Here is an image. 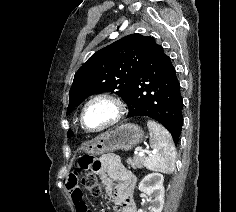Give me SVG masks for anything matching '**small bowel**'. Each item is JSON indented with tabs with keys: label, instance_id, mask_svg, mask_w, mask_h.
Here are the masks:
<instances>
[{
	"label": "small bowel",
	"instance_id": "small-bowel-1",
	"mask_svg": "<svg viewBox=\"0 0 236 212\" xmlns=\"http://www.w3.org/2000/svg\"><path fill=\"white\" fill-rule=\"evenodd\" d=\"M97 173L107 180L117 182L114 190L110 191L111 201L121 207V212H137L136 204L132 196V190L135 184L133 174L119 161L110 154L103 155L99 162ZM78 172L74 171L67 179L66 189L70 193L71 200L75 206L76 212H88V206L82 191L77 187Z\"/></svg>",
	"mask_w": 236,
	"mask_h": 212
}]
</instances>
